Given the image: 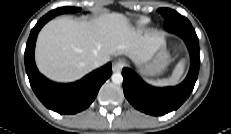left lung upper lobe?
Instances as JSON below:
<instances>
[{
  "instance_id": "obj_1",
  "label": "left lung upper lobe",
  "mask_w": 231,
  "mask_h": 134,
  "mask_svg": "<svg viewBox=\"0 0 231 134\" xmlns=\"http://www.w3.org/2000/svg\"><path fill=\"white\" fill-rule=\"evenodd\" d=\"M158 12L164 17V28L166 30H169L173 26L178 25L179 22L190 23L187 18L181 16L174 10L168 8H160L158 9Z\"/></svg>"
}]
</instances>
